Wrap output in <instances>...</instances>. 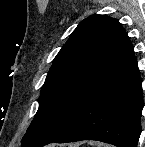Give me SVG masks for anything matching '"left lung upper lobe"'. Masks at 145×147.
I'll list each match as a JSON object with an SVG mask.
<instances>
[{
    "mask_svg": "<svg viewBox=\"0 0 145 147\" xmlns=\"http://www.w3.org/2000/svg\"><path fill=\"white\" fill-rule=\"evenodd\" d=\"M122 30L117 20L105 15L79 23L53 61L23 147H42L69 127Z\"/></svg>",
    "mask_w": 145,
    "mask_h": 147,
    "instance_id": "1",
    "label": "left lung upper lobe"
}]
</instances>
